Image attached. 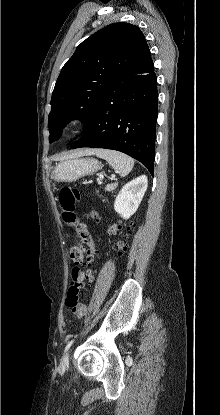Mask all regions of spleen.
I'll use <instances>...</instances> for the list:
<instances>
[{
    "mask_svg": "<svg viewBox=\"0 0 220 415\" xmlns=\"http://www.w3.org/2000/svg\"><path fill=\"white\" fill-rule=\"evenodd\" d=\"M94 153L97 157L106 160L121 177L127 176L134 166V160L131 157L118 151L99 149Z\"/></svg>",
    "mask_w": 220,
    "mask_h": 415,
    "instance_id": "3e777b00",
    "label": "spleen"
}]
</instances>
